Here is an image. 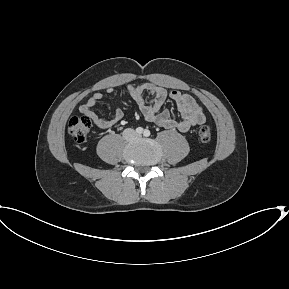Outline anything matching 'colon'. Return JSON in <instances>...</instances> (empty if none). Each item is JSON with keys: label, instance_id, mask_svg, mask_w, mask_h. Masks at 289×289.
<instances>
[{"label": "colon", "instance_id": "colon-1", "mask_svg": "<svg viewBox=\"0 0 289 289\" xmlns=\"http://www.w3.org/2000/svg\"><path fill=\"white\" fill-rule=\"evenodd\" d=\"M90 128L91 119L88 116L72 117L68 123V131L78 143H82L86 140ZM198 138L203 143H207L211 140V131L208 126H202L199 128Z\"/></svg>", "mask_w": 289, "mask_h": 289}]
</instances>
